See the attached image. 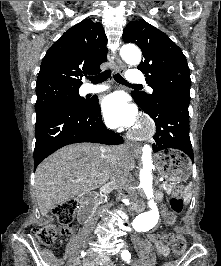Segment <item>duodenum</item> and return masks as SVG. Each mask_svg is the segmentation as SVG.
Masks as SVG:
<instances>
[{"mask_svg": "<svg viewBox=\"0 0 221 266\" xmlns=\"http://www.w3.org/2000/svg\"><path fill=\"white\" fill-rule=\"evenodd\" d=\"M79 203L78 219L81 224H86L93 213V198L90 195H81L79 196Z\"/></svg>", "mask_w": 221, "mask_h": 266, "instance_id": "duodenum-1", "label": "duodenum"}]
</instances>
